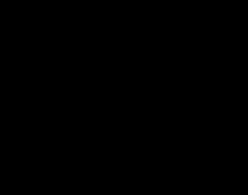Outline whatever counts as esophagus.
Segmentation results:
<instances>
[{"label":"esophagus","mask_w":248,"mask_h":195,"mask_svg":"<svg viewBox=\"0 0 248 195\" xmlns=\"http://www.w3.org/2000/svg\"><path fill=\"white\" fill-rule=\"evenodd\" d=\"M137 111H138V110H132V113L135 114V113H137Z\"/></svg>","instance_id":"obj_1"}]
</instances>
